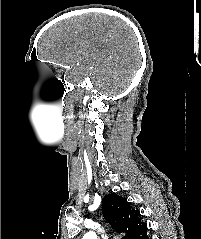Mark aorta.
<instances>
[{
    "mask_svg": "<svg viewBox=\"0 0 201 239\" xmlns=\"http://www.w3.org/2000/svg\"><path fill=\"white\" fill-rule=\"evenodd\" d=\"M82 239H97V235L94 232H88Z\"/></svg>",
    "mask_w": 201,
    "mask_h": 239,
    "instance_id": "obj_1",
    "label": "aorta"
}]
</instances>
